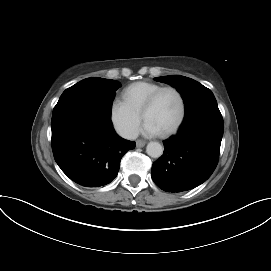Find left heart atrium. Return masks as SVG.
<instances>
[{
    "label": "left heart atrium",
    "instance_id": "left-heart-atrium-1",
    "mask_svg": "<svg viewBox=\"0 0 271 271\" xmlns=\"http://www.w3.org/2000/svg\"><path fill=\"white\" fill-rule=\"evenodd\" d=\"M141 133L146 136H157L161 134V131L151 122L145 121Z\"/></svg>",
    "mask_w": 271,
    "mask_h": 271
}]
</instances>
